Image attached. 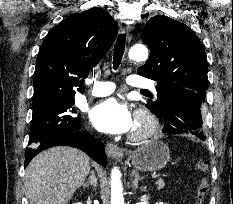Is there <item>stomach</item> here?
Segmentation results:
<instances>
[{
  "mask_svg": "<svg viewBox=\"0 0 233 204\" xmlns=\"http://www.w3.org/2000/svg\"><path fill=\"white\" fill-rule=\"evenodd\" d=\"M169 160V148L159 140L145 142L132 154V165L140 171L161 170Z\"/></svg>",
  "mask_w": 233,
  "mask_h": 204,
  "instance_id": "stomach-1",
  "label": "stomach"
}]
</instances>
